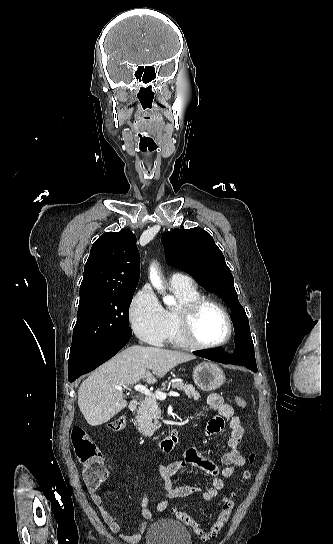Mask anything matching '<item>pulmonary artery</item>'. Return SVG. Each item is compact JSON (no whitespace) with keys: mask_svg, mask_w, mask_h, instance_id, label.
Here are the masks:
<instances>
[{"mask_svg":"<svg viewBox=\"0 0 333 544\" xmlns=\"http://www.w3.org/2000/svg\"><path fill=\"white\" fill-rule=\"evenodd\" d=\"M172 287H191L194 286L192 278L182 273H173L170 277Z\"/></svg>","mask_w":333,"mask_h":544,"instance_id":"obj_1","label":"pulmonary artery"}]
</instances>
